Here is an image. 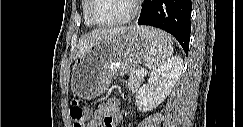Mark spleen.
I'll return each instance as SVG.
<instances>
[{"label":"spleen","instance_id":"spleen-1","mask_svg":"<svg viewBox=\"0 0 243 127\" xmlns=\"http://www.w3.org/2000/svg\"><path fill=\"white\" fill-rule=\"evenodd\" d=\"M143 32L151 43V50L145 59L146 66L154 71L169 60L173 42L171 36L163 31L147 28Z\"/></svg>","mask_w":243,"mask_h":127}]
</instances>
